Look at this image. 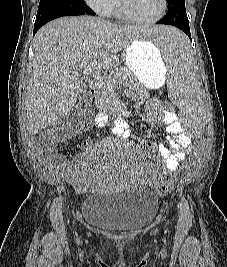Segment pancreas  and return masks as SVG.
<instances>
[{"label": "pancreas", "instance_id": "cf45deb5", "mask_svg": "<svg viewBox=\"0 0 227 267\" xmlns=\"http://www.w3.org/2000/svg\"><path fill=\"white\" fill-rule=\"evenodd\" d=\"M118 83L126 86L142 87L137 79L126 68L115 69L98 82V95L96 97V106L102 108L109 106L111 103V91Z\"/></svg>", "mask_w": 227, "mask_h": 267}]
</instances>
